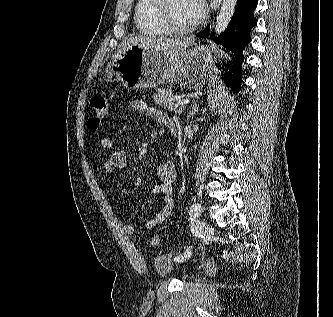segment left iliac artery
<instances>
[{"mask_svg": "<svg viewBox=\"0 0 333 317\" xmlns=\"http://www.w3.org/2000/svg\"><path fill=\"white\" fill-rule=\"evenodd\" d=\"M201 210H202V207H201L200 204H193L190 207V210H189V217H190V219L193 220L198 215H200ZM190 255H191V249L187 248L183 254H181V255H179V256L176 257V260L177 261L186 260L187 258L190 257Z\"/></svg>", "mask_w": 333, "mask_h": 317, "instance_id": "left-iliac-artery-1", "label": "left iliac artery"}]
</instances>
